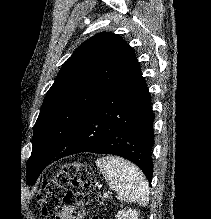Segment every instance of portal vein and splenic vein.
<instances>
[{
    "label": "portal vein and splenic vein",
    "mask_w": 211,
    "mask_h": 219,
    "mask_svg": "<svg viewBox=\"0 0 211 219\" xmlns=\"http://www.w3.org/2000/svg\"><path fill=\"white\" fill-rule=\"evenodd\" d=\"M104 197H108V194L104 193Z\"/></svg>",
    "instance_id": "portal-vein-and-splenic-vein-1"
}]
</instances>
